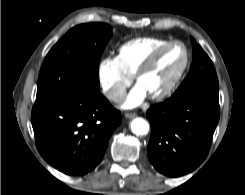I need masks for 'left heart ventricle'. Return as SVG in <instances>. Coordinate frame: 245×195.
I'll return each instance as SVG.
<instances>
[{"mask_svg":"<svg viewBox=\"0 0 245 195\" xmlns=\"http://www.w3.org/2000/svg\"><path fill=\"white\" fill-rule=\"evenodd\" d=\"M183 61V50L180 46H173L163 52L155 64L140 78L138 84L147 94H153L163 89Z\"/></svg>","mask_w":245,"mask_h":195,"instance_id":"left-heart-ventricle-1","label":"left heart ventricle"}]
</instances>
